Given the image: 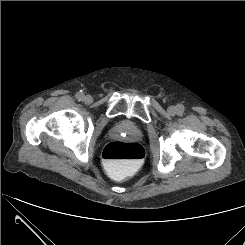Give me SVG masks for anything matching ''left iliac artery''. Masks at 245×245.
<instances>
[{
    "label": "left iliac artery",
    "instance_id": "44dca946",
    "mask_svg": "<svg viewBox=\"0 0 245 245\" xmlns=\"http://www.w3.org/2000/svg\"><path fill=\"white\" fill-rule=\"evenodd\" d=\"M178 114H182L184 111V106L182 104L177 105Z\"/></svg>",
    "mask_w": 245,
    "mask_h": 245
}]
</instances>
